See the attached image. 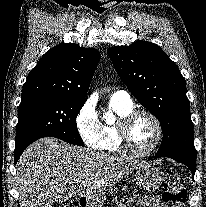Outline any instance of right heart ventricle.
I'll return each instance as SVG.
<instances>
[{"label":"right heart ventricle","mask_w":206,"mask_h":207,"mask_svg":"<svg viewBox=\"0 0 206 207\" xmlns=\"http://www.w3.org/2000/svg\"><path fill=\"white\" fill-rule=\"evenodd\" d=\"M109 109L116 114L118 121L110 124L104 122L101 124L102 146L101 149L110 153H120L122 150L119 145L117 127L122 118L133 111V104H125L115 99H110Z\"/></svg>","instance_id":"right-heart-ventricle-1"}]
</instances>
